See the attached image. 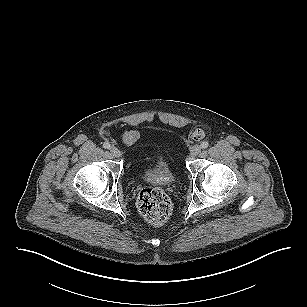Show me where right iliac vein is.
<instances>
[{
    "instance_id": "63e3f726",
    "label": "right iliac vein",
    "mask_w": 307,
    "mask_h": 307,
    "mask_svg": "<svg viewBox=\"0 0 307 307\" xmlns=\"http://www.w3.org/2000/svg\"><path fill=\"white\" fill-rule=\"evenodd\" d=\"M110 153L114 156V157H120L121 156V152L117 147H111L110 148Z\"/></svg>"
}]
</instances>
